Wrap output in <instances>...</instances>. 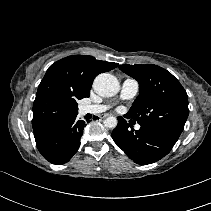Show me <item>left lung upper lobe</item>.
I'll use <instances>...</instances> for the list:
<instances>
[{"label": "left lung upper lobe", "instance_id": "obj_1", "mask_svg": "<svg viewBox=\"0 0 211 211\" xmlns=\"http://www.w3.org/2000/svg\"><path fill=\"white\" fill-rule=\"evenodd\" d=\"M119 69L139 83V96L126 116L176 143L189 114L188 96L180 82L157 65L124 64Z\"/></svg>", "mask_w": 211, "mask_h": 211}]
</instances>
